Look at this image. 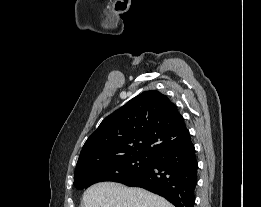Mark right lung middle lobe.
I'll list each match as a JSON object with an SVG mask.
<instances>
[{
	"label": "right lung middle lobe",
	"instance_id": "dd1d6c3e",
	"mask_svg": "<svg viewBox=\"0 0 261 207\" xmlns=\"http://www.w3.org/2000/svg\"><path fill=\"white\" fill-rule=\"evenodd\" d=\"M150 161L148 156L125 155L90 163L75 170L74 186L84 189L98 182H119L145 169Z\"/></svg>",
	"mask_w": 261,
	"mask_h": 207
}]
</instances>
